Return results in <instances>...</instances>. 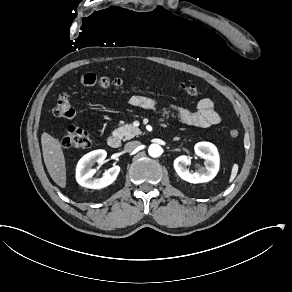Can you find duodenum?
Listing matches in <instances>:
<instances>
[{"label":"duodenum","instance_id":"obj_1","mask_svg":"<svg viewBox=\"0 0 292 292\" xmlns=\"http://www.w3.org/2000/svg\"><path fill=\"white\" fill-rule=\"evenodd\" d=\"M107 144L112 149H117L120 147V139L116 135L109 136L107 139Z\"/></svg>","mask_w":292,"mask_h":292}]
</instances>
